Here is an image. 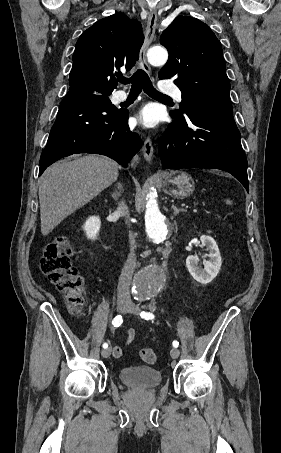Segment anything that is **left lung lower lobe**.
I'll use <instances>...</instances> for the list:
<instances>
[{
  "label": "left lung lower lobe",
  "mask_w": 281,
  "mask_h": 453,
  "mask_svg": "<svg viewBox=\"0 0 281 453\" xmlns=\"http://www.w3.org/2000/svg\"><path fill=\"white\" fill-rule=\"evenodd\" d=\"M174 117L159 142L164 169L208 168L231 173L249 191L247 159L232 105L194 107Z\"/></svg>",
  "instance_id": "0a47b994"
}]
</instances>
